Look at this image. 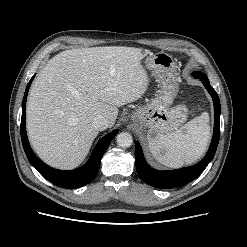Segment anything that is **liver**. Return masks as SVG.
<instances>
[{
	"instance_id": "6515ba94",
	"label": "liver",
	"mask_w": 247,
	"mask_h": 247,
	"mask_svg": "<svg viewBox=\"0 0 247 247\" xmlns=\"http://www.w3.org/2000/svg\"><path fill=\"white\" fill-rule=\"evenodd\" d=\"M150 51L123 46L63 51L35 79L29 93V140L45 163L77 167L86 158L98 130L92 119L103 115L115 124L118 108L136 101L150 79L141 60Z\"/></svg>"
}]
</instances>
